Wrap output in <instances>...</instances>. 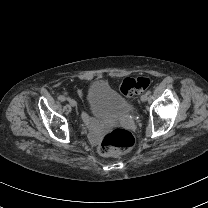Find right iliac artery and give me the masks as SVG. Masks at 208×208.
I'll use <instances>...</instances> for the list:
<instances>
[{"mask_svg": "<svg viewBox=\"0 0 208 208\" xmlns=\"http://www.w3.org/2000/svg\"><path fill=\"white\" fill-rule=\"evenodd\" d=\"M71 100H72V99H71L70 97H67V101H69V102H70Z\"/></svg>", "mask_w": 208, "mask_h": 208, "instance_id": "obj_1", "label": "right iliac artery"}]
</instances>
